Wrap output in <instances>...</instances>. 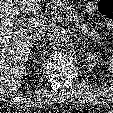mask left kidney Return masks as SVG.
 Segmentation results:
<instances>
[{
    "label": "left kidney",
    "mask_w": 113,
    "mask_h": 113,
    "mask_svg": "<svg viewBox=\"0 0 113 113\" xmlns=\"http://www.w3.org/2000/svg\"><path fill=\"white\" fill-rule=\"evenodd\" d=\"M99 55H96L95 53L92 52H87L86 54V60L89 64L90 68H94L97 65L98 59H99Z\"/></svg>",
    "instance_id": "obj_1"
}]
</instances>
